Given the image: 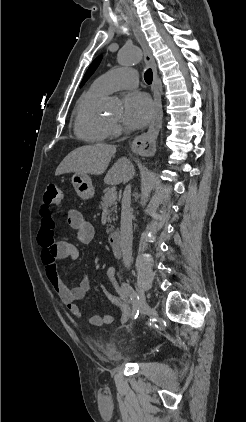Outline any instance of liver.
<instances>
[{
    "instance_id": "liver-1",
    "label": "liver",
    "mask_w": 246,
    "mask_h": 422,
    "mask_svg": "<svg viewBox=\"0 0 246 422\" xmlns=\"http://www.w3.org/2000/svg\"><path fill=\"white\" fill-rule=\"evenodd\" d=\"M115 152V146L103 143L79 147L63 159L57 167L55 175L70 172L81 175H101L106 171ZM133 174L132 163L126 157H122L109 169L104 182L108 185H117L125 182Z\"/></svg>"
}]
</instances>
